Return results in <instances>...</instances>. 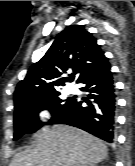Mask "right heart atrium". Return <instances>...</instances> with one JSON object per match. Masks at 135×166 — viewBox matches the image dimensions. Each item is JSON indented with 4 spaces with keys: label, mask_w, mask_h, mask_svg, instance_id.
Wrapping results in <instances>:
<instances>
[{
    "label": "right heart atrium",
    "mask_w": 135,
    "mask_h": 166,
    "mask_svg": "<svg viewBox=\"0 0 135 166\" xmlns=\"http://www.w3.org/2000/svg\"><path fill=\"white\" fill-rule=\"evenodd\" d=\"M53 112L50 108H41L36 112L35 121L38 127L47 125L53 119Z\"/></svg>",
    "instance_id": "d8ad5b80"
}]
</instances>
